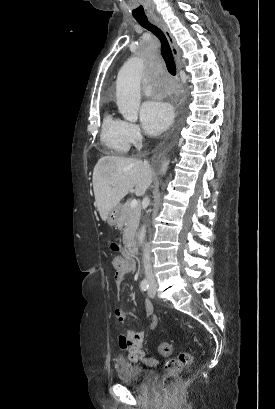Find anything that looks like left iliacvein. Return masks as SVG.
I'll return each instance as SVG.
<instances>
[{
  "mask_svg": "<svg viewBox=\"0 0 275 409\" xmlns=\"http://www.w3.org/2000/svg\"><path fill=\"white\" fill-rule=\"evenodd\" d=\"M156 286H157V284L154 283V282H152V283L150 284V287H149V289H148V291H147V294H148V296H149L150 298H154V297H155V295H156Z\"/></svg>",
  "mask_w": 275,
  "mask_h": 409,
  "instance_id": "1",
  "label": "left iliac vein"
}]
</instances>
